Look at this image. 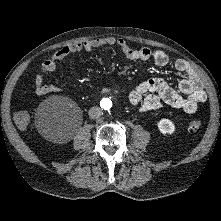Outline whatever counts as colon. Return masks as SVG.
<instances>
[{
    "label": "colon",
    "instance_id": "1",
    "mask_svg": "<svg viewBox=\"0 0 221 221\" xmlns=\"http://www.w3.org/2000/svg\"><path fill=\"white\" fill-rule=\"evenodd\" d=\"M29 121H30V115L28 111L22 110L15 114V122L20 129L27 128ZM201 128H202V123L200 120H192L189 123V130L191 132H199Z\"/></svg>",
    "mask_w": 221,
    "mask_h": 221
}]
</instances>
